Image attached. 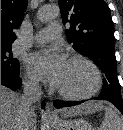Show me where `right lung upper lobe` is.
<instances>
[{
    "instance_id": "right-lung-upper-lobe-1",
    "label": "right lung upper lobe",
    "mask_w": 123,
    "mask_h": 130,
    "mask_svg": "<svg viewBox=\"0 0 123 130\" xmlns=\"http://www.w3.org/2000/svg\"><path fill=\"white\" fill-rule=\"evenodd\" d=\"M27 0H1V45H11L22 23L21 16L26 10Z\"/></svg>"
}]
</instances>
